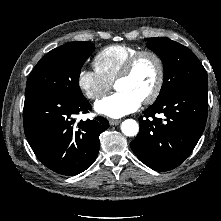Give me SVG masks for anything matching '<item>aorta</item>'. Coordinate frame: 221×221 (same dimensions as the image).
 <instances>
[{
  "label": "aorta",
  "instance_id": "1",
  "mask_svg": "<svg viewBox=\"0 0 221 221\" xmlns=\"http://www.w3.org/2000/svg\"><path fill=\"white\" fill-rule=\"evenodd\" d=\"M121 131L128 137L136 136L139 132V124L133 119H126L121 124Z\"/></svg>",
  "mask_w": 221,
  "mask_h": 221
}]
</instances>
